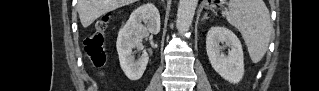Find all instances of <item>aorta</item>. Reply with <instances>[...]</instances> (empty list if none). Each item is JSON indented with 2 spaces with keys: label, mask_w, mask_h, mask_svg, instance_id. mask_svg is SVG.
<instances>
[{
  "label": "aorta",
  "mask_w": 319,
  "mask_h": 91,
  "mask_svg": "<svg viewBox=\"0 0 319 91\" xmlns=\"http://www.w3.org/2000/svg\"><path fill=\"white\" fill-rule=\"evenodd\" d=\"M198 0H179L176 27L179 33L189 30L195 14Z\"/></svg>",
  "instance_id": "aorta-1"
}]
</instances>
